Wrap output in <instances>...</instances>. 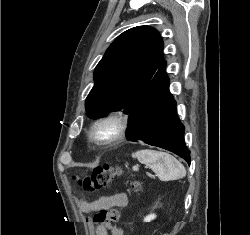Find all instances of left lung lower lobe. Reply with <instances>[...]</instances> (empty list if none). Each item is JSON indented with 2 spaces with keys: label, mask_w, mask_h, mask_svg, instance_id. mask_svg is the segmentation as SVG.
Listing matches in <instances>:
<instances>
[{
  "label": "left lung lower lobe",
  "mask_w": 250,
  "mask_h": 235,
  "mask_svg": "<svg viewBox=\"0 0 250 235\" xmlns=\"http://www.w3.org/2000/svg\"><path fill=\"white\" fill-rule=\"evenodd\" d=\"M166 63L156 72L129 115L127 132L133 142L143 141L171 151L190 165V151L184 142V127L169 91Z\"/></svg>",
  "instance_id": "obj_1"
}]
</instances>
